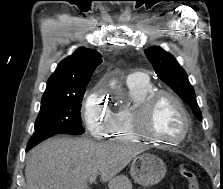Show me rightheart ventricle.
Masks as SVG:
<instances>
[{
	"label": "right heart ventricle",
	"instance_id": "right-heart-ventricle-1",
	"mask_svg": "<svg viewBox=\"0 0 223 189\" xmlns=\"http://www.w3.org/2000/svg\"><path fill=\"white\" fill-rule=\"evenodd\" d=\"M127 85L130 102L112 112L107 136L120 142H136L139 138L133 129L132 112L144 97L154 91V87L149 81L142 84Z\"/></svg>",
	"mask_w": 223,
	"mask_h": 189
}]
</instances>
